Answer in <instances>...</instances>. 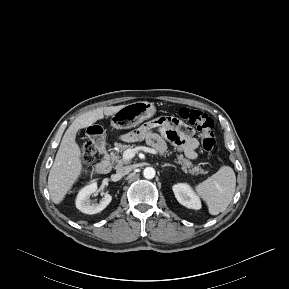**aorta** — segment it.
<instances>
[{
	"mask_svg": "<svg viewBox=\"0 0 289 289\" xmlns=\"http://www.w3.org/2000/svg\"><path fill=\"white\" fill-rule=\"evenodd\" d=\"M155 169L152 167H146L143 171V175L146 179H153L155 177Z\"/></svg>",
	"mask_w": 289,
	"mask_h": 289,
	"instance_id": "obj_1",
	"label": "aorta"
}]
</instances>
